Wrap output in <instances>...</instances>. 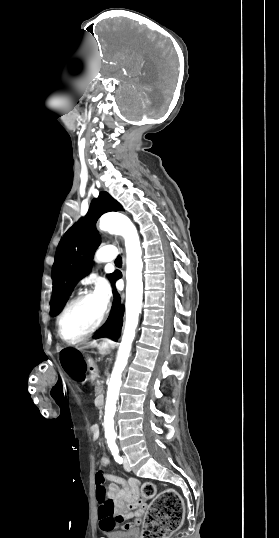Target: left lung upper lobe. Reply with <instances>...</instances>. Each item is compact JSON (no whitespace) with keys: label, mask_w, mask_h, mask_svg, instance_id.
<instances>
[{"label":"left lung upper lobe","mask_w":279,"mask_h":538,"mask_svg":"<svg viewBox=\"0 0 279 538\" xmlns=\"http://www.w3.org/2000/svg\"><path fill=\"white\" fill-rule=\"evenodd\" d=\"M120 209L116 200L107 192H101L98 199L91 202L87 215L65 233L57 247L53 265V300L50 303L52 316L60 312L75 284L91 267V259L100 244L96 221L102 214ZM108 276L114 284V273Z\"/></svg>","instance_id":"5c2ea615"}]
</instances>
